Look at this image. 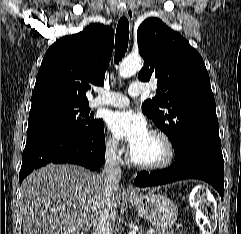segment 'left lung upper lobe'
I'll return each mask as SVG.
<instances>
[{"label":"left lung upper lobe","instance_id":"1","mask_svg":"<svg viewBox=\"0 0 241 234\" xmlns=\"http://www.w3.org/2000/svg\"><path fill=\"white\" fill-rule=\"evenodd\" d=\"M144 67L141 81L157 79V95L146 100L143 113L172 142L175 153L195 140L220 142L216 104L200 54L160 19H146L138 28Z\"/></svg>","mask_w":241,"mask_h":234}]
</instances>
